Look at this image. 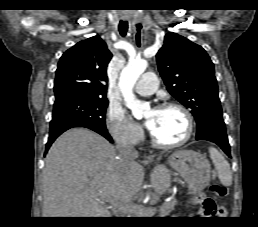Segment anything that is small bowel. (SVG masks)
<instances>
[{
    "label": "small bowel",
    "mask_w": 258,
    "mask_h": 227,
    "mask_svg": "<svg viewBox=\"0 0 258 227\" xmlns=\"http://www.w3.org/2000/svg\"><path fill=\"white\" fill-rule=\"evenodd\" d=\"M196 201L201 204V209L199 211L200 216H208L212 214L223 215L226 211L223 207H216L215 202L204 195L198 196Z\"/></svg>",
    "instance_id": "c3829d8e"
}]
</instances>
